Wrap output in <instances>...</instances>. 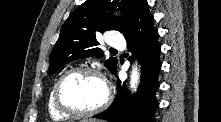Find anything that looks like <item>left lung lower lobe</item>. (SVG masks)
<instances>
[{"mask_svg": "<svg viewBox=\"0 0 221 122\" xmlns=\"http://www.w3.org/2000/svg\"><path fill=\"white\" fill-rule=\"evenodd\" d=\"M146 0H138L128 29L123 33L128 50L140 57L141 83L134 95L117 81V94L113 103L104 112L93 116L110 122H156L154 114L159 104L155 98L159 88L158 74L161 69L158 31L153 26ZM116 74V72H115Z\"/></svg>", "mask_w": 221, "mask_h": 122, "instance_id": "obj_1", "label": "left lung lower lobe"}]
</instances>
